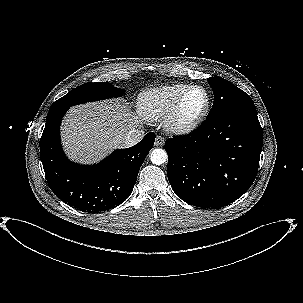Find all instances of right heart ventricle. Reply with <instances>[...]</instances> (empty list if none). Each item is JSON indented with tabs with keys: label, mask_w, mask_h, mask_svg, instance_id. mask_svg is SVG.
<instances>
[{
	"label": "right heart ventricle",
	"mask_w": 303,
	"mask_h": 303,
	"mask_svg": "<svg viewBox=\"0 0 303 303\" xmlns=\"http://www.w3.org/2000/svg\"><path fill=\"white\" fill-rule=\"evenodd\" d=\"M189 86L186 83H174L144 90L137 102L140 115L148 121L165 117Z\"/></svg>",
	"instance_id": "1"
}]
</instances>
